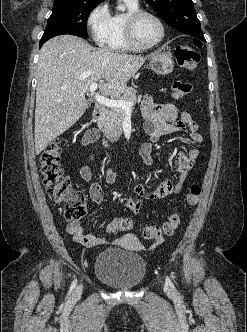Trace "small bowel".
<instances>
[{
    "label": "small bowel",
    "instance_id": "c3829d8e",
    "mask_svg": "<svg viewBox=\"0 0 247 332\" xmlns=\"http://www.w3.org/2000/svg\"><path fill=\"white\" fill-rule=\"evenodd\" d=\"M142 114L145 119L144 129L149 136V142H145L139 149V154L144 162L151 166L154 163L152 157V144L157 142L161 137L183 132L188 134L192 141L201 143L203 136L198 132V124L192 120L190 114L171 103H155L151 95L145 96L141 105ZM99 137L96 129H90L82 139L84 145L95 142ZM199 155L198 149H191L187 154L179 152L175 159V168L178 178L175 182L170 180L162 182L155 188H148L143 184L137 185L133 194L124 201V205L134 214L141 210L142 199L160 200L170 195L178 194L187 179L195 159ZM80 174L85 181L91 182L90 197L100 204L103 201V191L101 186L92 181V174L87 166H83ZM106 182L110 185L116 183V173L111 168L104 170ZM68 233L74 241L87 246L95 247L104 244V238L86 234L79 222L69 223L67 226Z\"/></svg>",
    "mask_w": 247,
    "mask_h": 332
}]
</instances>
